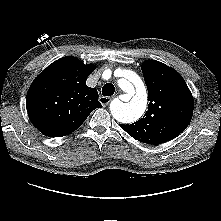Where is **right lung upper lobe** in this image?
<instances>
[{
	"mask_svg": "<svg viewBox=\"0 0 221 221\" xmlns=\"http://www.w3.org/2000/svg\"><path fill=\"white\" fill-rule=\"evenodd\" d=\"M94 70V65L67 56L35 78L26 96V107L30 121L43 135H68L82 125L91 111L102 107L97 90L86 85Z\"/></svg>",
	"mask_w": 221,
	"mask_h": 221,
	"instance_id": "obj_1",
	"label": "right lung upper lobe"
}]
</instances>
